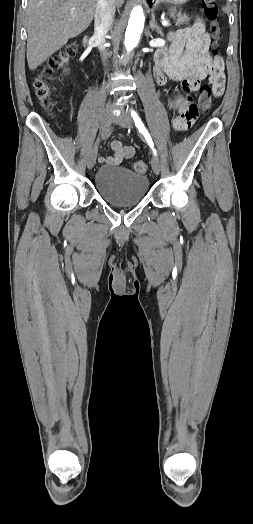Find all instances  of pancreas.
I'll return each mask as SVG.
<instances>
[{
  "label": "pancreas",
  "mask_w": 253,
  "mask_h": 524,
  "mask_svg": "<svg viewBox=\"0 0 253 524\" xmlns=\"http://www.w3.org/2000/svg\"><path fill=\"white\" fill-rule=\"evenodd\" d=\"M169 15L176 21V26L185 25L189 22V18L185 13L178 11L175 7L169 9Z\"/></svg>",
  "instance_id": "pancreas-1"
}]
</instances>
